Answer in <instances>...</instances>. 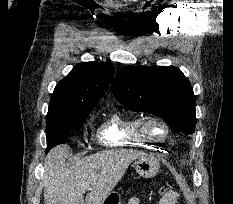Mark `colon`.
I'll list each match as a JSON object with an SVG mask.
<instances>
[{"label":"colon","mask_w":233,"mask_h":204,"mask_svg":"<svg viewBox=\"0 0 233 204\" xmlns=\"http://www.w3.org/2000/svg\"><path fill=\"white\" fill-rule=\"evenodd\" d=\"M178 193L173 185L166 183L160 188V201L159 204H177Z\"/></svg>","instance_id":"5ec220e1"}]
</instances>
